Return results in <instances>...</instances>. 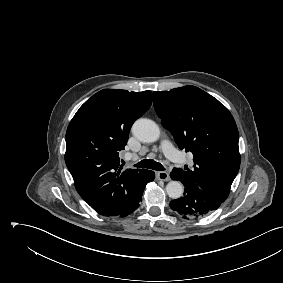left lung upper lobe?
Segmentation results:
<instances>
[{"mask_svg": "<svg viewBox=\"0 0 283 283\" xmlns=\"http://www.w3.org/2000/svg\"><path fill=\"white\" fill-rule=\"evenodd\" d=\"M154 108L177 145L193 154L194 166L174 168L182 181L220 202L229 195L240 167L239 134L229 110L195 86L153 92Z\"/></svg>", "mask_w": 283, "mask_h": 283, "instance_id": "left-lung-upper-lobe-1", "label": "left lung upper lobe"}]
</instances>
